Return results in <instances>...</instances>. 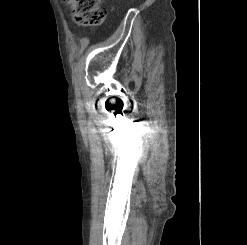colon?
I'll return each mask as SVG.
<instances>
[{
    "label": "colon",
    "instance_id": "obj_1",
    "mask_svg": "<svg viewBox=\"0 0 247 245\" xmlns=\"http://www.w3.org/2000/svg\"><path fill=\"white\" fill-rule=\"evenodd\" d=\"M72 10L73 19L84 26L99 25L104 22L106 11L100 0H64Z\"/></svg>",
    "mask_w": 247,
    "mask_h": 245
}]
</instances>
